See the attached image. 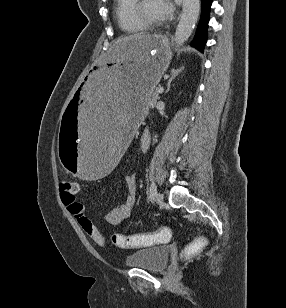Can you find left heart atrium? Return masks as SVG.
I'll return each instance as SVG.
<instances>
[{
    "mask_svg": "<svg viewBox=\"0 0 286 308\" xmlns=\"http://www.w3.org/2000/svg\"><path fill=\"white\" fill-rule=\"evenodd\" d=\"M159 5L160 13L163 19L168 18L172 12V5L170 0H156Z\"/></svg>",
    "mask_w": 286,
    "mask_h": 308,
    "instance_id": "obj_1",
    "label": "left heart atrium"
}]
</instances>
